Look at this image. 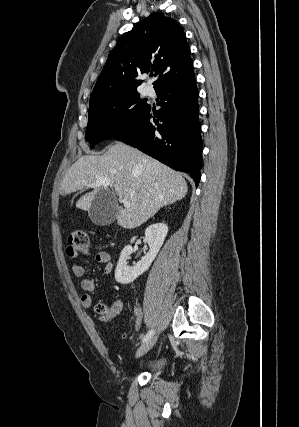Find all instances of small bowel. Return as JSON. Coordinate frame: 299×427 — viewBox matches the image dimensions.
Returning <instances> with one entry per match:
<instances>
[{
  "label": "small bowel",
  "instance_id": "small-bowel-1",
  "mask_svg": "<svg viewBox=\"0 0 299 427\" xmlns=\"http://www.w3.org/2000/svg\"><path fill=\"white\" fill-rule=\"evenodd\" d=\"M96 261L103 266V273L104 274H110L113 270V264L110 261V256L106 252H99L96 254L95 257ZM71 270L73 274L77 277L82 278L81 286L83 290L85 291H92L95 288V281L91 277L86 276V272L84 267L79 263H73L71 266ZM81 304L84 308H90L93 305V298L89 294H83L81 296ZM123 302L121 300H118L112 304V306L109 308L106 318L113 319L117 315L121 313L123 310ZM133 321H134V327L136 330H139L142 326V316H141V309L139 307L134 308V315H133Z\"/></svg>",
  "mask_w": 299,
  "mask_h": 427
}]
</instances>
